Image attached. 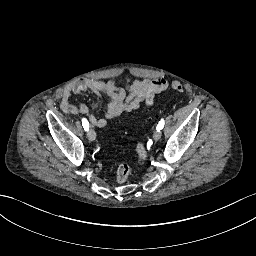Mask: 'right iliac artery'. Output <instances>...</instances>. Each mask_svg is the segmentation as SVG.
I'll return each instance as SVG.
<instances>
[{"label": "right iliac artery", "instance_id": "82829eb1", "mask_svg": "<svg viewBox=\"0 0 256 256\" xmlns=\"http://www.w3.org/2000/svg\"><path fill=\"white\" fill-rule=\"evenodd\" d=\"M82 125H83L85 131L89 130V122L87 121V119H85V118L82 119Z\"/></svg>", "mask_w": 256, "mask_h": 256}]
</instances>
